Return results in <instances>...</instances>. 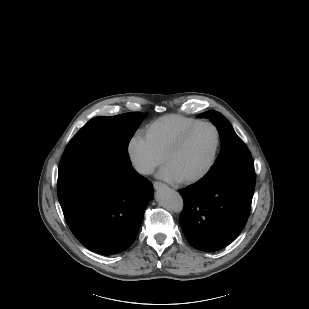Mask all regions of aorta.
<instances>
[{"label": "aorta", "instance_id": "1", "mask_svg": "<svg viewBox=\"0 0 309 309\" xmlns=\"http://www.w3.org/2000/svg\"><path fill=\"white\" fill-rule=\"evenodd\" d=\"M155 200L159 206L168 211L179 212L183 207L181 195L166 185L160 186L155 193Z\"/></svg>", "mask_w": 309, "mask_h": 309}]
</instances>
